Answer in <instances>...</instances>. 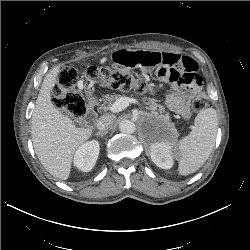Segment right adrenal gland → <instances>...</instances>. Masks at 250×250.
<instances>
[{
    "mask_svg": "<svg viewBox=\"0 0 250 250\" xmlns=\"http://www.w3.org/2000/svg\"><path fill=\"white\" fill-rule=\"evenodd\" d=\"M108 133V131L105 132H97L96 135L97 136H105Z\"/></svg>",
    "mask_w": 250,
    "mask_h": 250,
    "instance_id": "2a0ac1e0",
    "label": "right adrenal gland"
}]
</instances>
